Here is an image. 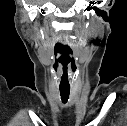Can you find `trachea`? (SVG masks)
<instances>
[{
    "instance_id": "trachea-1",
    "label": "trachea",
    "mask_w": 127,
    "mask_h": 126,
    "mask_svg": "<svg viewBox=\"0 0 127 126\" xmlns=\"http://www.w3.org/2000/svg\"><path fill=\"white\" fill-rule=\"evenodd\" d=\"M69 95H70V88L69 89L60 88V96L64 104L67 103L69 99Z\"/></svg>"
}]
</instances>
